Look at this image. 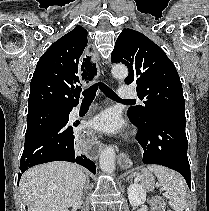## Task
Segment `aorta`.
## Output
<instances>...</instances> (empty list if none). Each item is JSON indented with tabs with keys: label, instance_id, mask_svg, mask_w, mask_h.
I'll list each match as a JSON object with an SVG mask.
<instances>
[{
	"label": "aorta",
	"instance_id": "762f6f07",
	"mask_svg": "<svg viewBox=\"0 0 209 211\" xmlns=\"http://www.w3.org/2000/svg\"><path fill=\"white\" fill-rule=\"evenodd\" d=\"M112 75L117 79H125L128 75V69L125 65L117 64L112 67ZM100 168L105 173H113L115 170V150L107 146L100 154Z\"/></svg>",
	"mask_w": 209,
	"mask_h": 211
}]
</instances>
